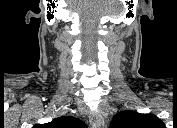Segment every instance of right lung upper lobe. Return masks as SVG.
Returning a JSON list of instances; mask_svg holds the SVG:
<instances>
[{"instance_id":"1","label":"right lung upper lobe","mask_w":177,"mask_h":128,"mask_svg":"<svg viewBox=\"0 0 177 128\" xmlns=\"http://www.w3.org/2000/svg\"><path fill=\"white\" fill-rule=\"evenodd\" d=\"M49 128H85L86 124L71 116H61L45 125Z\"/></svg>"}]
</instances>
